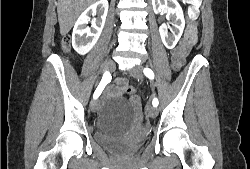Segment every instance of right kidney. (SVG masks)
<instances>
[{
	"label": "right kidney",
	"instance_id": "obj_1",
	"mask_svg": "<svg viewBox=\"0 0 250 169\" xmlns=\"http://www.w3.org/2000/svg\"><path fill=\"white\" fill-rule=\"evenodd\" d=\"M108 0H97L94 4H90L78 20H76L72 32V46L79 54H86L94 44H96L105 24L108 12ZM89 14H93L91 26H86L90 20ZM97 14V16H95ZM86 32V36H84Z\"/></svg>",
	"mask_w": 250,
	"mask_h": 169
}]
</instances>
